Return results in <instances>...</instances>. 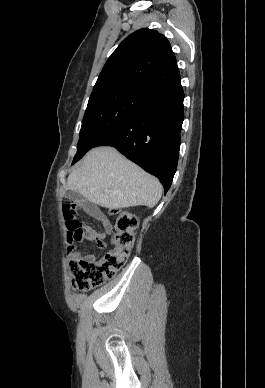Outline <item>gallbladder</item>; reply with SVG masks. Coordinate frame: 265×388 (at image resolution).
<instances>
[{
    "mask_svg": "<svg viewBox=\"0 0 265 388\" xmlns=\"http://www.w3.org/2000/svg\"><path fill=\"white\" fill-rule=\"evenodd\" d=\"M65 198H68L71 202H75V204H81V202H84L81 194H78V192H72V190L66 192Z\"/></svg>",
    "mask_w": 265,
    "mask_h": 388,
    "instance_id": "obj_1",
    "label": "gallbladder"
}]
</instances>
